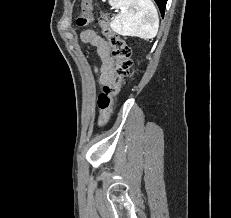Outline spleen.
<instances>
[{"label": "spleen", "mask_w": 231, "mask_h": 218, "mask_svg": "<svg viewBox=\"0 0 231 218\" xmlns=\"http://www.w3.org/2000/svg\"><path fill=\"white\" fill-rule=\"evenodd\" d=\"M119 12L112 18L110 27L123 36L151 39L157 35L159 17L152 0H108Z\"/></svg>", "instance_id": "1"}]
</instances>
